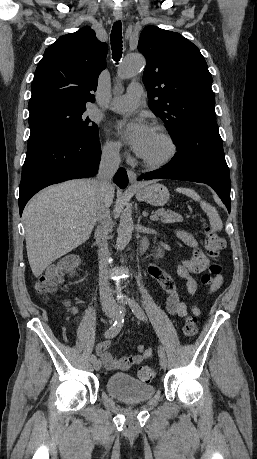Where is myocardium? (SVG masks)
<instances>
[{
	"label": "myocardium",
	"instance_id": "myocardium-1",
	"mask_svg": "<svg viewBox=\"0 0 257 459\" xmlns=\"http://www.w3.org/2000/svg\"><path fill=\"white\" fill-rule=\"evenodd\" d=\"M154 130H156L163 137V139L167 142L169 146V151L163 158L158 159V160H149L144 157H140V158L144 166L150 169H160V168L167 166L175 159L178 153V145L175 139L173 138V136L168 132V130L165 127L161 125H155Z\"/></svg>",
	"mask_w": 257,
	"mask_h": 459
}]
</instances>
